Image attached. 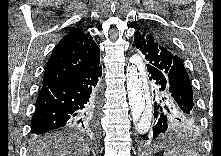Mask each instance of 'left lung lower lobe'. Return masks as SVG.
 <instances>
[{
  "label": "left lung lower lobe",
  "mask_w": 221,
  "mask_h": 156,
  "mask_svg": "<svg viewBox=\"0 0 221 156\" xmlns=\"http://www.w3.org/2000/svg\"><path fill=\"white\" fill-rule=\"evenodd\" d=\"M152 83V99L154 102L152 119L153 127L146 140L158 141L165 136L193 128L198 116L181 108L170 91V80L166 73L156 68H147Z\"/></svg>",
  "instance_id": "obj_1"
}]
</instances>
